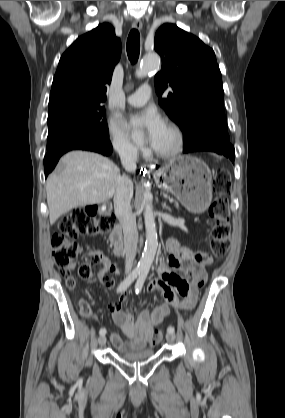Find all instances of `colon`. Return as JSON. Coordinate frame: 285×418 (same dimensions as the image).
Returning <instances> with one entry per match:
<instances>
[{
  "label": "colon",
  "mask_w": 285,
  "mask_h": 418,
  "mask_svg": "<svg viewBox=\"0 0 285 418\" xmlns=\"http://www.w3.org/2000/svg\"><path fill=\"white\" fill-rule=\"evenodd\" d=\"M214 191L218 198L210 205L209 215L213 221L211 230L209 254L202 256L205 264H210L213 259H220L226 256L230 247V211L226 195L229 192V182L224 173L218 171L214 181ZM96 207L75 208L70 210L59 222L57 229L51 237L53 256L60 273L67 274V268L83 252L81 245L76 241L78 235L95 236L107 233L116 223L113 214L96 217ZM208 260V261H207ZM105 265L102 256L93 255L89 262H83L78 267L81 277L89 278L92 276V266L99 267ZM194 302L186 304L188 308ZM163 333L158 330L149 339V345L154 346L162 339Z\"/></svg>",
  "instance_id": "obj_1"
}]
</instances>
